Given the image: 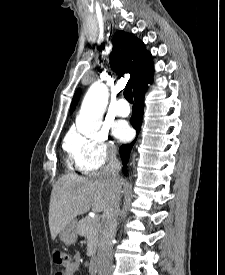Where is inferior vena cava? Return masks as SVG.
<instances>
[{"mask_svg": "<svg viewBox=\"0 0 225 275\" xmlns=\"http://www.w3.org/2000/svg\"><path fill=\"white\" fill-rule=\"evenodd\" d=\"M119 170L120 163L116 158V153L114 150H109L107 163L100 173L108 187V198L102 216V228L98 245V275H111L112 272V240L116 234L121 198Z\"/></svg>", "mask_w": 225, "mask_h": 275, "instance_id": "602c4592", "label": "inferior vena cava"}]
</instances>
